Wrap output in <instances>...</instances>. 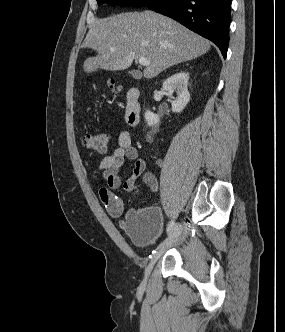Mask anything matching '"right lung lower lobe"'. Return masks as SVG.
I'll return each instance as SVG.
<instances>
[{
  "instance_id": "right-lung-lower-lobe-1",
  "label": "right lung lower lobe",
  "mask_w": 285,
  "mask_h": 332,
  "mask_svg": "<svg viewBox=\"0 0 285 332\" xmlns=\"http://www.w3.org/2000/svg\"><path fill=\"white\" fill-rule=\"evenodd\" d=\"M146 6L211 40L226 57L231 0H153Z\"/></svg>"
}]
</instances>
